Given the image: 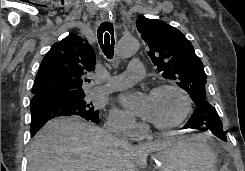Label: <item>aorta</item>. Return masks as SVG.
I'll list each match as a JSON object with an SVG mask.
<instances>
[{
	"label": "aorta",
	"mask_w": 245,
	"mask_h": 171,
	"mask_svg": "<svg viewBox=\"0 0 245 171\" xmlns=\"http://www.w3.org/2000/svg\"><path fill=\"white\" fill-rule=\"evenodd\" d=\"M139 49V42L135 37H122L116 47L117 60H124L136 54Z\"/></svg>",
	"instance_id": "aorta-1"
}]
</instances>
